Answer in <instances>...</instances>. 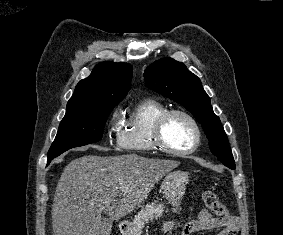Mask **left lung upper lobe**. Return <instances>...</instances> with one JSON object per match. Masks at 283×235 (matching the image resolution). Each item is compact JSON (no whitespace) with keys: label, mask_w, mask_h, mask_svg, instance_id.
Listing matches in <instances>:
<instances>
[{"label":"left lung upper lobe","mask_w":283,"mask_h":235,"mask_svg":"<svg viewBox=\"0 0 283 235\" xmlns=\"http://www.w3.org/2000/svg\"><path fill=\"white\" fill-rule=\"evenodd\" d=\"M146 85L183 105L202 125L211 152L217 157L233 158L220 119L213 112L210 97L200 79L186 66L171 58L152 63L144 72Z\"/></svg>","instance_id":"5c2ea615"}]
</instances>
